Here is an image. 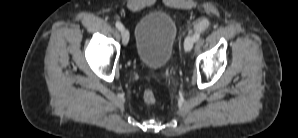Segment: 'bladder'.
Returning <instances> with one entry per match:
<instances>
[{
	"mask_svg": "<svg viewBox=\"0 0 298 138\" xmlns=\"http://www.w3.org/2000/svg\"><path fill=\"white\" fill-rule=\"evenodd\" d=\"M176 27L164 13L145 17L135 32V50L141 64L157 70L166 65L173 48Z\"/></svg>",
	"mask_w": 298,
	"mask_h": 138,
	"instance_id": "bladder-1",
	"label": "bladder"
}]
</instances>
